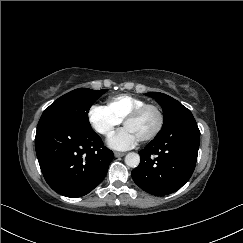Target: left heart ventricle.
Segmentation results:
<instances>
[{
    "mask_svg": "<svg viewBox=\"0 0 243 243\" xmlns=\"http://www.w3.org/2000/svg\"><path fill=\"white\" fill-rule=\"evenodd\" d=\"M158 122L157 114L154 110L145 111L140 117L125 124L138 140L148 136L156 127Z\"/></svg>",
    "mask_w": 243,
    "mask_h": 243,
    "instance_id": "left-heart-ventricle-1",
    "label": "left heart ventricle"
}]
</instances>
